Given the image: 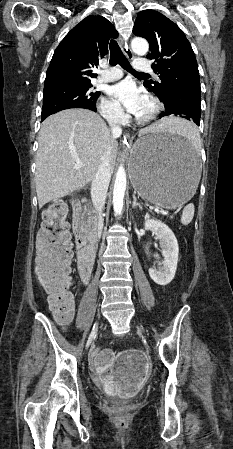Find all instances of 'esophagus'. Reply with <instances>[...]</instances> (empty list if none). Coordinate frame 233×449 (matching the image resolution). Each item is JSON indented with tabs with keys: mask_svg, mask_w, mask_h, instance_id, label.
Instances as JSON below:
<instances>
[{
	"mask_svg": "<svg viewBox=\"0 0 233 449\" xmlns=\"http://www.w3.org/2000/svg\"><path fill=\"white\" fill-rule=\"evenodd\" d=\"M118 43L123 51V53L127 56V58L129 59H133L134 55L132 53V51L130 50V48L128 47V45L125 43L124 39L122 36L119 35L118 37ZM124 141H130V136L128 133H125L124 135Z\"/></svg>",
	"mask_w": 233,
	"mask_h": 449,
	"instance_id": "1",
	"label": "esophagus"
}]
</instances>
